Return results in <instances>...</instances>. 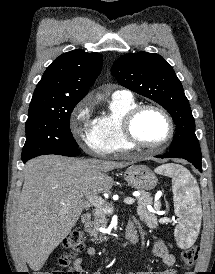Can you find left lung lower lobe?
<instances>
[{
	"label": "left lung lower lobe",
	"mask_w": 215,
	"mask_h": 274,
	"mask_svg": "<svg viewBox=\"0 0 215 274\" xmlns=\"http://www.w3.org/2000/svg\"><path fill=\"white\" fill-rule=\"evenodd\" d=\"M157 158H183L190 163H192L197 169H199L200 172H202L201 167V156H192V155H186L182 153H176V152H169L163 155H157Z\"/></svg>",
	"instance_id": "obj_1"
}]
</instances>
